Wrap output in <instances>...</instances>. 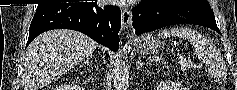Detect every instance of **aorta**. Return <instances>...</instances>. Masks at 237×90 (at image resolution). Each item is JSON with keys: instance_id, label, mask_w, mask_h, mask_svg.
I'll list each match as a JSON object with an SVG mask.
<instances>
[{"instance_id": "1", "label": "aorta", "mask_w": 237, "mask_h": 90, "mask_svg": "<svg viewBox=\"0 0 237 90\" xmlns=\"http://www.w3.org/2000/svg\"><path fill=\"white\" fill-rule=\"evenodd\" d=\"M112 74L114 90H128L129 74L127 66L120 56L114 58Z\"/></svg>"}]
</instances>
